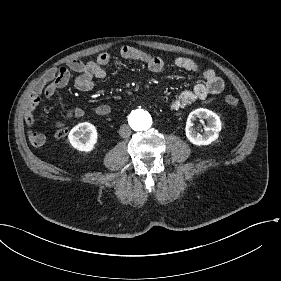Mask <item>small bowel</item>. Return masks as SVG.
<instances>
[{"label":"small bowel","instance_id":"obj_1","mask_svg":"<svg viewBox=\"0 0 281 281\" xmlns=\"http://www.w3.org/2000/svg\"><path fill=\"white\" fill-rule=\"evenodd\" d=\"M120 55L124 59L142 62L153 73H159L164 69V60L156 55H150L144 51L131 46H124L120 50ZM111 57L108 53H101L94 61L82 62L72 60L67 67H59L48 70L38 81L35 86V92L28 100L24 119L26 125V136L30 138L34 146L40 147L45 143V136L36 133L31 128L35 123V110L44 95L47 98L52 97L59 89L64 88L71 79V71L78 73L74 81V86L81 92L92 89L94 78L103 79L107 72L105 66L110 62ZM175 67L192 72L199 73L203 79L202 82L195 84L191 89L181 92L180 94L164 101L165 106L171 111H179L192 106L197 101L203 100L210 95L220 94L224 88V80L210 68L201 69L193 60L185 57H177L174 60ZM91 111L97 115L106 116L111 113V106L108 104H99L94 106ZM86 114V109L81 106L71 108L66 119L80 118Z\"/></svg>","mask_w":281,"mask_h":281}]
</instances>
